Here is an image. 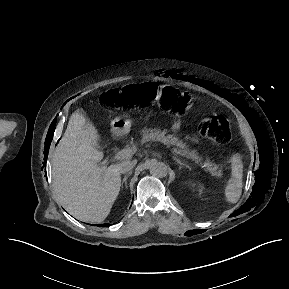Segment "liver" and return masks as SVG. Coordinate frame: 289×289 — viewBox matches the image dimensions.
Wrapping results in <instances>:
<instances>
[{
	"label": "liver",
	"mask_w": 289,
	"mask_h": 289,
	"mask_svg": "<svg viewBox=\"0 0 289 289\" xmlns=\"http://www.w3.org/2000/svg\"><path fill=\"white\" fill-rule=\"evenodd\" d=\"M97 142L94 127L76 111L51 159L58 203L76 219L90 223L105 220L121 186L118 164L99 166L103 152L97 149Z\"/></svg>",
	"instance_id": "1"
}]
</instances>
